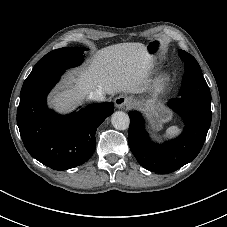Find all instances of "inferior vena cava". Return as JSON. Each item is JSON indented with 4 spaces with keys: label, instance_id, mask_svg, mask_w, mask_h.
Here are the masks:
<instances>
[{
    "label": "inferior vena cava",
    "instance_id": "602c4592",
    "mask_svg": "<svg viewBox=\"0 0 227 227\" xmlns=\"http://www.w3.org/2000/svg\"><path fill=\"white\" fill-rule=\"evenodd\" d=\"M88 97L91 100H95V101H99V102L105 101L104 93L101 90L91 91L89 93V96Z\"/></svg>",
    "mask_w": 227,
    "mask_h": 227
}]
</instances>
